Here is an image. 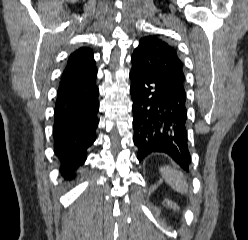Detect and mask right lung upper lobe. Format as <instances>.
Masks as SVG:
<instances>
[{
  "label": "right lung upper lobe",
  "instance_id": "obj_1",
  "mask_svg": "<svg viewBox=\"0 0 248 240\" xmlns=\"http://www.w3.org/2000/svg\"><path fill=\"white\" fill-rule=\"evenodd\" d=\"M95 68L93 51L89 48L81 47L69 56L66 68L62 74L61 83L84 75Z\"/></svg>",
  "mask_w": 248,
  "mask_h": 240
}]
</instances>
